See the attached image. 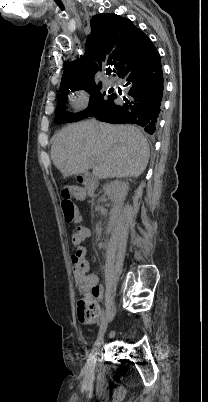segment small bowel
Listing matches in <instances>:
<instances>
[{
	"label": "small bowel",
	"instance_id": "obj_1",
	"mask_svg": "<svg viewBox=\"0 0 208 402\" xmlns=\"http://www.w3.org/2000/svg\"><path fill=\"white\" fill-rule=\"evenodd\" d=\"M89 234V231L85 229V236L83 235L80 237V242L83 244L86 243ZM83 254H85V250ZM73 276L80 295H82L86 300H91L89 297L90 291L95 295V302L98 306V315L92 318L93 322H90L91 318L89 315H80L78 318L81 330L94 329L96 327L95 323L103 321V314L100 312L101 308L99 305V301L103 298L104 294L103 287L98 284V277L91 273L90 263L87 259L84 267H73Z\"/></svg>",
	"mask_w": 208,
	"mask_h": 402
}]
</instances>
